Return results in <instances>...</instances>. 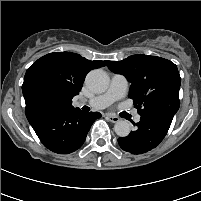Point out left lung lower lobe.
I'll list each match as a JSON object with an SVG mask.
<instances>
[{
    "instance_id": "left-lung-lower-lobe-1",
    "label": "left lung lower lobe",
    "mask_w": 201,
    "mask_h": 201,
    "mask_svg": "<svg viewBox=\"0 0 201 201\" xmlns=\"http://www.w3.org/2000/svg\"><path fill=\"white\" fill-rule=\"evenodd\" d=\"M173 118L163 115L141 117L136 130L118 138L120 147L132 154H143L157 147L167 134ZM135 125V124H134Z\"/></svg>"
}]
</instances>
